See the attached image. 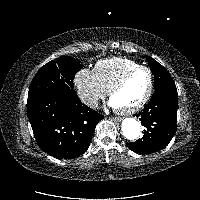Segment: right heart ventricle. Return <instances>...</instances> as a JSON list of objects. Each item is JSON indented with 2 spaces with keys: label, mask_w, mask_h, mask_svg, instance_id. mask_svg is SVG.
<instances>
[{
  "label": "right heart ventricle",
  "mask_w": 200,
  "mask_h": 200,
  "mask_svg": "<svg viewBox=\"0 0 200 200\" xmlns=\"http://www.w3.org/2000/svg\"><path fill=\"white\" fill-rule=\"evenodd\" d=\"M137 66L140 64L127 57H109L98 61L94 71L99 82L108 90L125 73Z\"/></svg>",
  "instance_id": "obj_1"
}]
</instances>
